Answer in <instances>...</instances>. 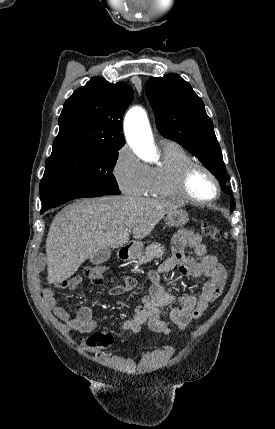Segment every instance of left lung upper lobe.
Wrapping results in <instances>:
<instances>
[{"label": "left lung upper lobe", "mask_w": 275, "mask_h": 429, "mask_svg": "<svg viewBox=\"0 0 275 429\" xmlns=\"http://www.w3.org/2000/svg\"><path fill=\"white\" fill-rule=\"evenodd\" d=\"M146 94L152 104L160 134L176 141L196 156L220 181L222 190L231 194L225 185L229 176L213 122L191 85L180 75L170 73L160 78H150L146 83ZM231 204L233 211L235 203Z\"/></svg>", "instance_id": "5c2ea615"}]
</instances>
